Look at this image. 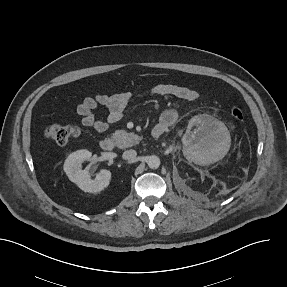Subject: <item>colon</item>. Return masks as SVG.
Listing matches in <instances>:
<instances>
[{
    "label": "colon",
    "instance_id": "5ec220e1",
    "mask_svg": "<svg viewBox=\"0 0 287 287\" xmlns=\"http://www.w3.org/2000/svg\"><path fill=\"white\" fill-rule=\"evenodd\" d=\"M230 114L237 121L244 119V110L238 99L233 100ZM44 135L58 145H66L79 136V129L73 125L51 124L45 128Z\"/></svg>",
    "mask_w": 287,
    "mask_h": 287
}]
</instances>
